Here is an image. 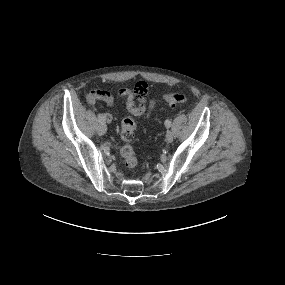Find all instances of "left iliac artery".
<instances>
[{"label": "left iliac artery", "instance_id": "44dca946", "mask_svg": "<svg viewBox=\"0 0 285 285\" xmlns=\"http://www.w3.org/2000/svg\"><path fill=\"white\" fill-rule=\"evenodd\" d=\"M165 126H166L167 128H169V127L171 126V122H170L169 120H166V121H165Z\"/></svg>", "mask_w": 285, "mask_h": 285}]
</instances>
